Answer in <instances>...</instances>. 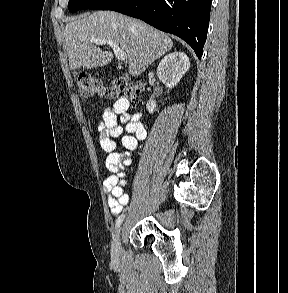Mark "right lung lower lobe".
<instances>
[{
  "label": "right lung lower lobe",
  "instance_id": "98d812e1",
  "mask_svg": "<svg viewBox=\"0 0 288 293\" xmlns=\"http://www.w3.org/2000/svg\"><path fill=\"white\" fill-rule=\"evenodd\" d=\"M212 0H123L109 10L139 18L187 42L200 59Z\"/></svg>",
  "mask_w": 288,
  "mask_h": 293
}]
</instances>
